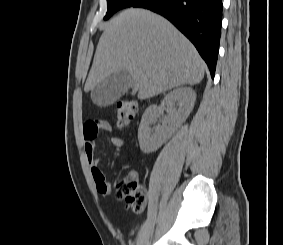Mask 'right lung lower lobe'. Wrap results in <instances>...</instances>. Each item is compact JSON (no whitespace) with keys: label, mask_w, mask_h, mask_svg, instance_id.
<instances>
[{"label":"right lung lower lobe","mask_w":283,"mask_h":245,"mask_svg":"<svg viewBox=\"0 0 283 245\" xmlns=\"http://www.w3.org/2000/svg\"><path fill=\"white\" fill-rule=\"evenodd\" d=\"M172 22L197 48L214 77L222 21V0H139Z\"/></svg>","instance_id":"1"}]
</instances>
